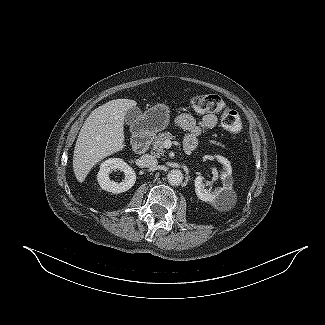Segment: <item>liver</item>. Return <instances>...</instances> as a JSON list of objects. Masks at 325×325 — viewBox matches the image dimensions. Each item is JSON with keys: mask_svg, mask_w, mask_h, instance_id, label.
I'll list each match as a JSON object with an SVG mask.
<instances>
[{"mask_svg": "<svg viewBox=\"0 0 325 325\" xmlns=\"http://www.w3.org/2000/svg\"><path fill=\"white\" fill-rule=\"evenodd\" d=\"M136 105L134 100L116 99L90 113L79 132L74 148L73 170L79 182L85 180L98 162L125 147V115Z\"/></svg>", "mask_w": 325, "mask_h": 325, "instance_id": "1", "label": "liver"}]
</instances>
